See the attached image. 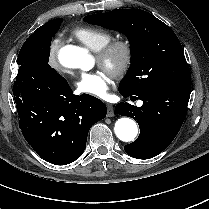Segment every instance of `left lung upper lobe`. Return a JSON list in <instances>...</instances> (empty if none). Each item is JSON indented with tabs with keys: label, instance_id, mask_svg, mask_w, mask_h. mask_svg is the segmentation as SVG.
I'll return each mask as SVG.
<instances>
[{
	"label": "left lung upper lobe",
	"instance_id": "5c2ea615",
	"mask_svg": "<svg viewBox=\"0 0 209 209\" xmlns=\"http://www.w3.org/2000/svg\"><path fill=\"white\" fill-rule=\"evenodd\" d=\"M84 21L124 33L131 47V67L119 92L140 93L155 85L191 86V74L175 33L150 13L119 9L88 15Z\"/></svg>",
	"mask_w": 209,
	"mask_h": 209
}]
</instances>
